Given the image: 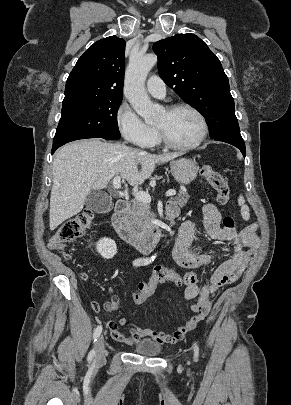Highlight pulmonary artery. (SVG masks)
<instances>
[{"instance_id": "pulmonary-artery-1", "label": "pulmonary artery", "mask_w": 291, "mask_h": 405, "mask_svg": "<svg viewBox=\"0 0 291 405\" xmlns=\"http://www.w3.org/2000/svg\"><path fill=\"white\" fill-rule=\"evenodd\" d=\"M146 87L148 92L155 97L163 98L166 93L164 81L157 75H152L148 78Z\"/></svg>"}]
</instances>
